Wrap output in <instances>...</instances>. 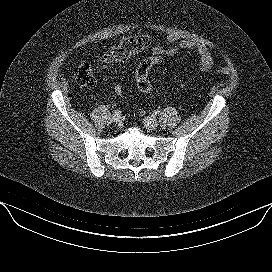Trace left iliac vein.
Masks as SVG:
<instances>
[{
  "label": "left iliac vein",
  "mask_w": 272,
  "mask_h": 272,
  "mask_svg": "<svg viewBox=\"0 0 272 272\" xmlns=\"http://www.w3.org/2000/svg\"><path fill=\"white\" fill-rule=\"evenodd\" d=\"M144 125L148 130H155L158 127V122L154 117H145L144 118Z\"/></svg>",
  "instance_id": "obj_1"
}]
</instances>
